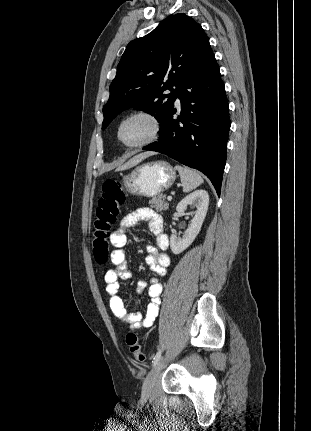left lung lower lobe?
Listing matches in <instances>:
<instances>
[{
	"label": "left lung lower lobe",
	"instance_id": "0a47b994",
	"mask_svg": "<svg viewBox=\"0 0 311 431\" xmlns=\"http://www.w3.org/2000/svg\"><path fill=\"white\" fill-rule=\"evenodd\" d=\"M177 97L181 100L180 116L173 118L177 111L173 103L162 122L159 140L143 149L203 172L220 195L231 122L225 86L211 49L185 77Z\"/></svg>",
	"mask_w": 311,
	"mask_h": 431
}]
</instances>
